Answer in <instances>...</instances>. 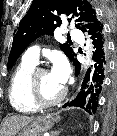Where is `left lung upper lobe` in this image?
I'll return each mask as SVG.
<instances>
[{
	"label": "left lung upper lobe",
	"mask_w": 117,
	"mask_h": 136,
	"mask_svg": "<svg viewBox=\"0 0 117 136\" xmlns=\"http://www.w3.org/2000/svg\"><path fill=\"white\" fill-rule=\"evenodd\" d=\"M64 13L68 16L69 22L78 17L75 20V26L82 31L86 29L90 31L101 24L96 11L87 0H33L13 38L8 69L36 38L42 34L52 35L55 28L62 23L59 15ZM60 48L70 60L75 56L69 44H60Z\"/></svg>",
	"instance_id": "obj_1"
}]
</instances>
